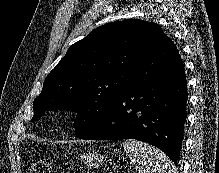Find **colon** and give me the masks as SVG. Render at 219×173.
I'll return each mask as SVG.
<instances>
[{"mask_svg":"<svg viewBox=\"0 0 219 173\" xmlns=\"http://www.w3.org/2000/svg\"><path fill=\"white\" fill-rule=\"evenodd\" d=\"M30 173H51L49 162L44 159L35 160L32 164Z\"/></svg>","mask_w":219,"mask_h":173,"instance_id":"obj_1","label":"colon"}]
</instances>
